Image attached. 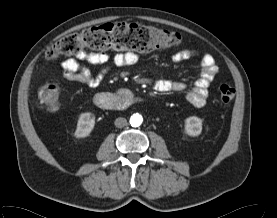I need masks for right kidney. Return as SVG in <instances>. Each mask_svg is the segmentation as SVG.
<instances>
[{"label": "right kidney", "instance_id": "1", "mask_svg": "<svg viewBox=\"0 0 277 218\" xmlns=\"http://www.w3.org/2000/svg\"><path fill=\"white\" fill-rule=\"evenodd\" d=\"M95 125V116L90 112L82 113L79 116L77 128L75 131L76 138L88 137Z\"/></svg>", "mask_w": 277, "mask_h": 218}]
</instances>
